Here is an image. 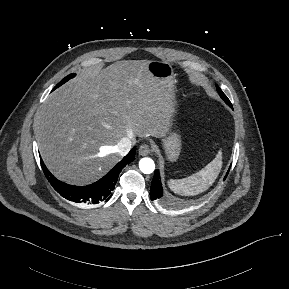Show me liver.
Instances as JSON below:
<instances>
[{"mask_svg": "<svg viewBox=\"0 0 289 289\" xmlns=\"http://www.w3.org/2000/svg\"><path fill=\"white\" fill-rule=\"evenodd\" d=\"M173 110L148 61L89 68L46 99L35 121L39 151L57 179L91 184L121 160L123 137L163 136Z\"/></svg>", "mask_w": 289, "mask_h": 289, "instance_id": "1", "label": "liver"}]
</instances>
